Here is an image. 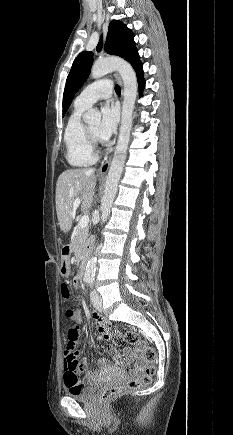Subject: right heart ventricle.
Segmentation results:
<instances>
[{
    "instance_id": "obj_1",
    "label": "right heart ventricle",
    "mask_w": 233,
    "mask_h": 435,
    "mask_svg": "<svg viewBox=\"0 0 233 435\" xmlns=\"http://www.w3.org/2000/svg\"><path fill=\"white\" fill-rule=\"evenodd\" d=\"M85 109L75 105L64 130L66 159L74 167H88L97 161V154L86 136L85 124L81 119Z\"/></svg>"
}]
</instances>
